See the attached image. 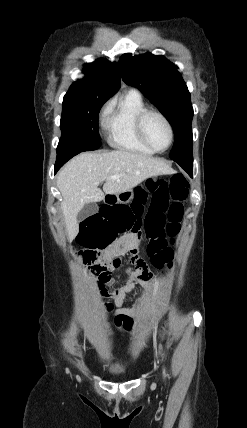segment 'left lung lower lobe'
<instances>
[{
  "instance_id": "obj_1",
  "label": "left lung lower lobe",
  "mask_w": 247,
  "mask_h": 428,
  "mask_svg": "<svg viewBox=\"0 0 247 428\" xmlns=\"http://www.w3.org/2000/svg\"><path fill=\"white\" fill-rule=\"evenodd\" d=\"M191 177L193 175V160H175Z\"/></svg>"
}]
</instances>
